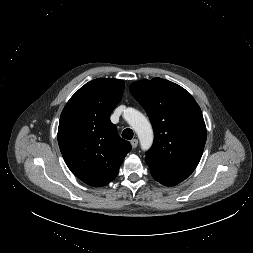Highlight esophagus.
<instances>
[{
	"mask_svg": "<svg viewBox=\"0 0 253 253\" xmlns=\"http://www.w3.org/2000/svg\"><path fill=\"white\" fill-rule=\"evenodd\" d=\"M130 143H131L132 148H136L137 145H138V140L137 139H132Z\"/></svg>",
	"mask_w": 253,
	"mask_h": 253,
	"instance_id": "esophagus-1",
	"label": "esophagus"
}]
</instances>
